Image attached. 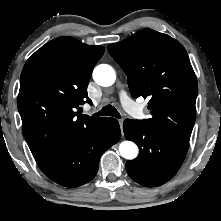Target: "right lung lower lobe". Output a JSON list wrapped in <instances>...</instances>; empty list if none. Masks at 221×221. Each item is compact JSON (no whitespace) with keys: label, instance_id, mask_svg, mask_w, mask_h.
<instances>
[{"label":"right lung lower lobe","instance_id":"1","mask_svg":"<svg viewBox=\"0 0 221 221\" xmlns=\"http://www.w3.org/2000/svg\"><path fill=\"white\" fill-rule=\"evenodd\" d=\"M121 137L114 118H101L92 128L39 165L51 180L65 187H78L94 178L101 155Z\"/></svg>","mask_w":221,"mask_h":221}]
</instances>
